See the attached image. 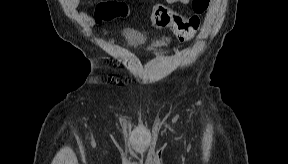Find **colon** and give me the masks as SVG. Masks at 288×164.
Returning <instances> with one entry per match:
<instances>
[{"label": "colon", "instance_id": "colon-1", "mask_svg": "<svg viewBox=\"0 0 288 164\" xmlns=\"http://www.w3.org/2000/svg\"><path fill=\"white\" fill-rule=\"evenodd\" d=\"M209 5V0H196L194 8L198 12H203ZM127 13L126 7L116 1H101L94 9L95 21L102 23L114 18L124 16ZM149 20L153 28H169L180 41L193 39L201 27V18L192 15L184 19L173 8L155 5L149 14Z\"/></svg>", "mask_w": 288, "mask_h": 164}]
</instances>
